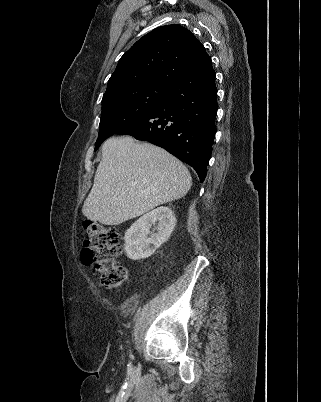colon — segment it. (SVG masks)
I'll return each instance as SVG.
<instances>
[{"instance_id":"colon-1","label":"colon","mask_w":321,"mask_h":402,"mask_svg":"<svg viewBox=\"0 0 321 402\" xmlns=\"http://www.w3.org/2000/svg\"><path fill=\"white\" fill-rule=\"evenodd\" d=\"M86 229L88 237L81 249L82 262L95 265L100 284L104 288H120L126 280L127 270L115 260L121 252L119 232L94 221H88Z\"/></svg>"}]
</instances>
